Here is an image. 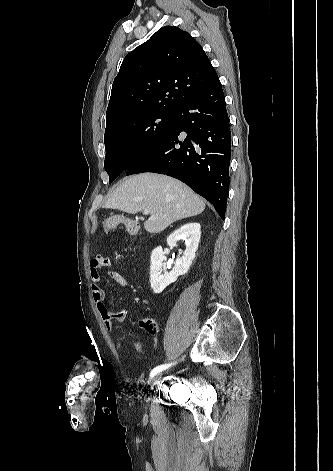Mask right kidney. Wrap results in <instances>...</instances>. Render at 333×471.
<instances>
[{
	"instance_id": "right-kidney-1",
	"label": "right kidney",
	"mask_w": 333,
	"mask_h": 471,
	"mask_svg": "<svg viewBox=\"0 0 333 471\" xmlns=\"http://www.w3.org/2000/svg\"><path fill=\"white\" fill-rule=\"evenodd\" d=\"M200 228L199 223H188L181 226L167 238V244L170 247L176 246L180 239L185 240L186 244L183 255L177 258L175 267L170 273L164 267L162 247L159 246L153 250L151 254L150 284L154 293H161L168 285L175 282L179 276L188 272L198 249L201 236Z\"/></svg>"
}]
</instances>
